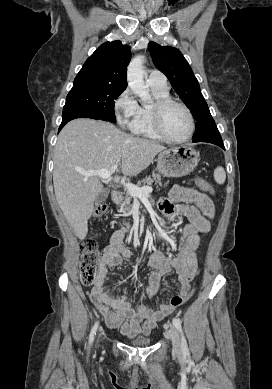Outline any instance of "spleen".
I'll return each instance as SVG.
<instances>
[{"instance_id": "1", "label": "spleen", "mask_w": 272, "mask_h": 389, "mask_svg": "<svg viewBox=\"0 0 272 389\" xmlns=\"http://www.w3.org/2000/svg\"><path fill=\"white\" fill-rule=\"evenodd\" d=\"M214 179L216 183L223 184L226 180V173L223 167L219 166L214 170Z\"/></svg>"}]
</instances>
